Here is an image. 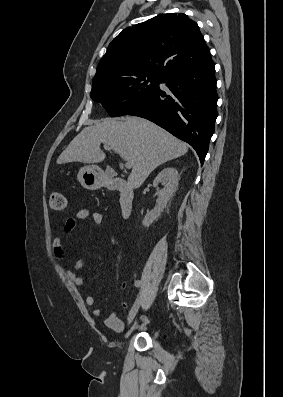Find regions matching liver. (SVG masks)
I'll return each mask as SVG.
<instances>
[{"mask_svg": "<svg viewBox=\"0 0 283 397\" xmlns=\"http://www.w3.org/2000/svg\"><path fill=\"white\" fill-rule=\"evenodd\" d=\"M101 143L130 163L128 185L132 189L139 188L157 166L186 154L189 147L152 122L127 116L84 128L60 154L57 163H100L106 157Z\"/></svg>", "mask_w": 283, "mask_h": 397, "instance_id": "liver-1", "label": "liver"}]
</instances>
